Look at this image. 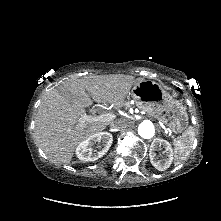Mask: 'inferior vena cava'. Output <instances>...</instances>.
<instances>
[{"label":"inferior vena cava","mask_w":221,"mask_h":221,"mask_svg":"<svg viewBox=\"0 0 221 221\" xmlns=\"http://www.w3.org/2000/svg\"><path fill=\"white\" fill-rule=\"evenodd\" d=\"M127 126V122L125 120H118L110 124L112 129H121Z\"/></svg>","instance_id":"obj_1"}]
</instances>
